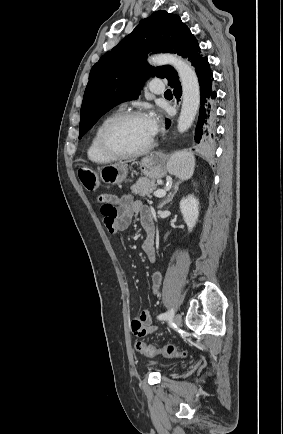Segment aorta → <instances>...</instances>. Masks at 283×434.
I'll return each instance as SVG.
<instances>
[{
	"label": "aorta",
	"instance_id": "obj_1",
	"mask_svg": "<svg viewBox=\"0 0 283 434\" xmlns=\"http://www.w3.org/2000/svg\"><path fill=\"white\" fill-rule=\"evenodd\" d=\"M152 65H172L178 72L182 85V109L178 119V131L186 132L192 125L200 105V87L191 65L172 54H159L148 59Z\"/></svg>",
	"mask_w": 283,
	"mask_h": 434
}]
</instances>
